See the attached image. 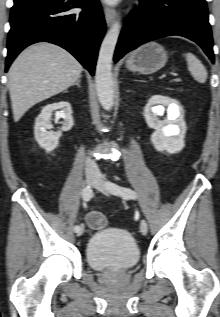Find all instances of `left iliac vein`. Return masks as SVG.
<instances>
[{"mask_svg": "<svg viewBox=\"0 0 220 317\" xmlns=\"http://www.w3.org/2000/svg\"><path fill=\"white\" fill-rule=\"evenodd\" d=\"M93 186L98 189L100 192L104 194H109L110 190L108 189L107 182H104L102 180V177L100 174L97 176L96 182L93 184ZM140 231L143 235H146L148 232V224L145 220H142L140 222Z\"/></svg>", "mask_w": 220, "mask_h": 317, "instance_id": "4c4485c4", "label": "left iliac vein"}]
</instances>
